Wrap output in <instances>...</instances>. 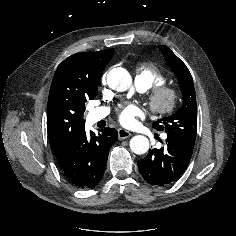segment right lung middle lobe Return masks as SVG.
I'll use <instances>...</instances> for the list:
<instances>
[{
	"label": "right lung middle lobe",
	"instance_id": "obj_1",
	"mask_svg": "<svg viewBox=\"0 0 236 236\" xmlns=\"http://www.w3.org/2000/svg\"><path fill=\"white\" fill-rule=\"evenodd\" d=\"M97 89H98V84L92 88L91 92H90V99H94L95 96L97 95Z\"/></svg>",
	"mask_w": 236,
	"mask_h": 236
}]
</instances>
